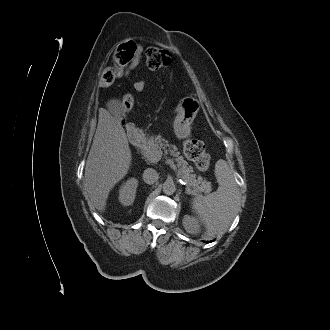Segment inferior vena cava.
<instances>
[{
    "instance_id": "602c4592",
    "label": "inferior vena cava",
    "mask_w": 330,
    "mask_h": 330,
    "mask_svg": "<svg viewBox=\"0 0 330 330\" xmlns=\"http://www.w3.org/2000/svg\"><path fill=\"white\" fill-rule=\"evenodd\" d=\"M159 178V175L156 170L152 168H147L143 173V180L147 184H154Z\"/></svg>"
}]
</instances>
